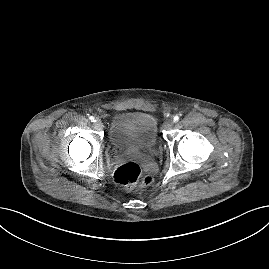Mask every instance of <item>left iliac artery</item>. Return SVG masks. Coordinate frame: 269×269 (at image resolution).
I'll return each mask as SVG.
<instances>
[{"label":"left iliac artery","mask_w":269,"mask_h":269,"mask_svg":"<svg viewBox=\"0 0 269 269\" xmlns=\"http://www.w3.org/2000/svg\"><path fill=\"white\" fill-rule=\"evenodd\" d=\"M179 120V116L174 117V122H177Z\"/></svg>","instance_id":"44dca946"}]
</instances>
